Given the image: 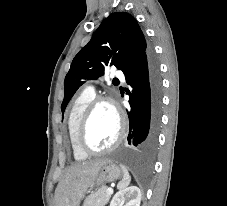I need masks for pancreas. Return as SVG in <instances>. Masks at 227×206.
Masks as SVG:
<instances>
[{
	"instance_id": "obj_1",
	"label": "pancreas",
	"mask_w": 227,
	"mask_h": 206,
	"mask_svg": "<svg viewBox=\"0 0 227 206\" xmlns=\"http://www.w3.org/2000/svg\"><path fill=\"white\" fill-rule=\"evenodd\" d=\"M109 188L102 186L98 190L92 192L84 201L83 206H105L109 200L110 195L107 193Z\"/></svg>"
}]
</instances>
